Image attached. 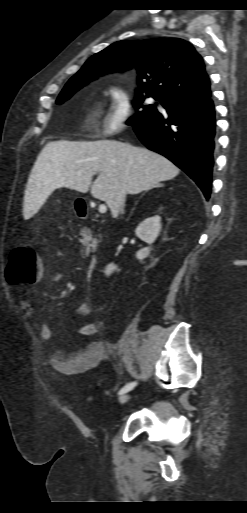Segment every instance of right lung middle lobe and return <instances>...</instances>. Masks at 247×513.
<instances>
[{"label": "right lung middle lobe", "instance_id": "1", "mask_svg": "<svg viewBox=\"0 0 247 513\" xmlns=\"http://www.w3.org/2000/svg\"><path fill=\"white\" fill-rule=\"evenodd\" d=\"M88 81H79L76 79H70L63 90L61 91L60 95L58 96L57 102L58 104L63 103L68 98H70L76 91H78L81 87L86 85ZM148 97V96H147ZM145 97L142 94H138L135 97V100L133 101L134 108L139 110L137 113L128 119L127 124L130 126H135L152 116H154L158 109L155 105H145L143 104ZM156 100L161 101L160 99L155 98ZM163 102L161 101V104Z\"/></svg>", "mask_w": 247, "mask_h": 513}]
</instances>
